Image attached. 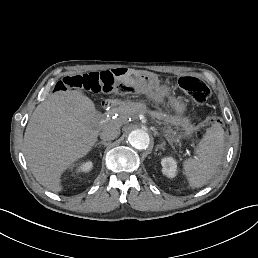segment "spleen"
Returning <instances> with one entry per match:
<instances>
[{
  "label": "spleen",
  "instance_id": "obj_1",
  "mask_svg": "<svg viewBox=\"0 0 258 258\" xmlns=\"http://www.w3.org/2000/svg\"><path fill=\"white\" fill-rule=\"evenodd\" d=\"M224 153V130L220 124H213L196 149V157L184 161L185 175L192 188L202 187L219 170Z\"/></svg>",
  "mask_w": 258,
  "mask_h": 258
}]
</instances>
